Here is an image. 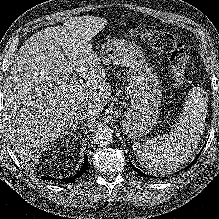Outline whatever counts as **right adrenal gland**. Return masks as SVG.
I'll use <instances>...</instances> for the list:
<instances>
[{"label": "right adrenal gland", "mask_w": 219, "mask_h": 219, "mask_svg": "<svg viewBox=\"0 0 219 219\" xmlns=\"http://www.w3.org/2000/svg\"><path fill=\"white\" fill-rule=\"evenodd\" d=\"M80 124V121L76 120L75 123L70 128V131H67L66 134L68 137L74 136V131L78 128V125ZM69 141V140H68Z\"/></svg>", "instance_id": "right-adrenal-gland-1"}]
</instances>
